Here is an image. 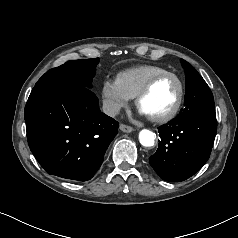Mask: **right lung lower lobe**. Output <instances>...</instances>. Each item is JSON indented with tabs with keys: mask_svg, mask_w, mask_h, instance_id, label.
I'll return each mask as SVG.
<instances>
[{
	"mask_svg": "<svg viewBox=\"0 0 238 238\" xmlns=\"http://www.w3.org/2000/svg\"><path fill=\"white\" fill-rule=\"evenodd\" d=\"M30 150L44 170L70 180L91 179L118 133L98 98L77 83L33 88L25 106Z\"/></svg>",
	"mask_w": 238,
	"mask_h": 238,
	"instance_id": "right-lung-lower-lobe-1",
	"label": "right lung lower lobe"
}]
</instances>
